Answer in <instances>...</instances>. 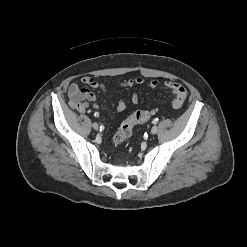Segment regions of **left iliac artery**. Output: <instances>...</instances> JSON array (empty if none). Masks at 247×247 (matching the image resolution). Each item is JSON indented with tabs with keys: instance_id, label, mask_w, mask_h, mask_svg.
Here are the masks:
<instances>
[{
	"instance_id": "44dca946",
	"label": "left iliac artery",
	"mask_w": 247,
	"mask_h": 247,
	"mask_svg": "<svg viewBox=\"0 0 247 247\" xmlns=\"http://www.w3.org/2000/svg\"><path fill=\"white\" fill-rule=\"evenodd\" d=\"M158 122V118L153 120V124H156Z\"/></svg>"
}]
</instances>
